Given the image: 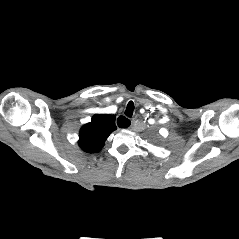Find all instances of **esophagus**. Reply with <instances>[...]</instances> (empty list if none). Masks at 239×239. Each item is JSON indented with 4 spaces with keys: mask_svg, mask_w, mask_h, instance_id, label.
<instances>
[{
    "mask_svg": "<svg viewBox=\"0 0 239 239\" xmlns=\"http://www.w3.org/2000/svg\"><path fill=\"white\" fill-rule=\"evenodd\" d=\"M117 125L119 128H126L130 126V120L124 116H119L117 119Z\"/></svg>",
    "mask_w": 239,
    "mask_h": 239,
    "instance_id": "34e87169",
    "label": "esophagus"
}]
</instances>
